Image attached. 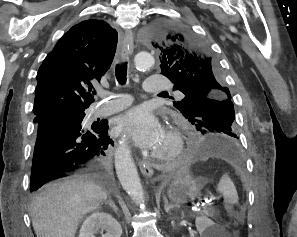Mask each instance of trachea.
Instances as JSON below:
<instances>
[{"label": "trachea", "mask_w": 297, "mask_h": 237, "mask_svg": "<svg viewBox=\"0 0 297 237\" xmlns=\"http://www.w3.org/2000/svg\"><path fill=\"white\" fill-rule=\"evenodd\" d=\"M115 75L118 83L124 85L127 81V63L118 64L115 69ZM95 94V92H93Z\"/></svg>", "instance_id": "obj_1"}]
</instances>
